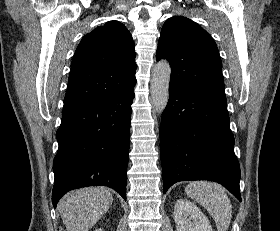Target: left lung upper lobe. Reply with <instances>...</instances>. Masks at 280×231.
Wrapping results in <instances>:
<instances>
[{
  "label": "left lung upper lobe",
  "instance_id": "obj_1",
  "mask_svg": "<svg viewBox=\"0 0 280 231\" xmlns=\"http://www.w3.org/2000/svg\"><path fill=\"white\" fill-rule=\"evenodd\" d=\"M156 59L168 60L170 84L225 94L218 48L209 33L190 19L175 16L164 23Z\"/></svg>",
  "mask_w": 280,
  "mask_h": 231
}]
</instances>
